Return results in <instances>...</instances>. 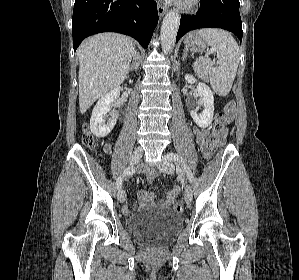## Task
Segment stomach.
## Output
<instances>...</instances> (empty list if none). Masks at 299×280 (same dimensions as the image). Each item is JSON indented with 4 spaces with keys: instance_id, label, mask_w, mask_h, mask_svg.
I'll list each match as a JSON object with an SVG mask.
<instances>
[{
    "instance_id": "0dacf381",
    "label": "stomach",
    "mask_w": 299,
    "mask_h": 280,
    "mask_svg": "<svg viewBox=\"0 0 299 280\" xmlns=\"http://www.w3.org/2000/svg\"><path fill=\"white\" fill-rule=\"evenodd\" d=\"M185 45L190 51L201 52L206 49L208 44L202 37L192 33L185 39Z\"/></svg>"
}]
</instances>
